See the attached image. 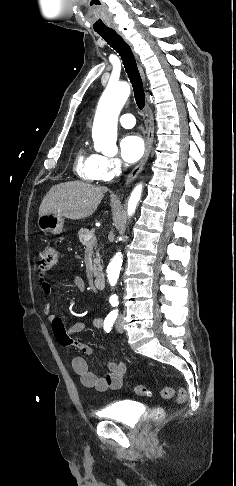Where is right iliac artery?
<instances>
[{
  "instance_id": "1",
  "label": "right iliac artery",
  "mask_w": 236,
  "mask_h": 486,
  "mask_svg": "<svg viewBox=\"0 0 236 486\" xmlns=\"http://www.w3.org/2000/svg\"><path fill=\"white\" fill-rule=\"evenodd\" d=\"M118 315V310H112L107 317L104 320V330L109 333L111 331V328L113 327V324L117 318Z\"/></svg>"
}]
</instances>
